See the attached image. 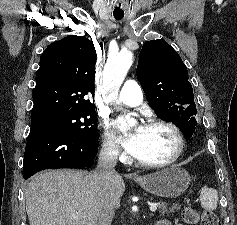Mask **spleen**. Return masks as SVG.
Here are the masks:
<instances>
[{"label":"spleen","mask_w":237,"mask_h":225,"mask_svg":"<svg viewBox=\"0 0 237 225\" xmlns=\"http://www.w3.org/2000/svg\"><path fill=\"white\" fill-rule=\"evenodd\" d=\"M218 193L215 189L204 186L200 192V203L205 210H215L217 208Z\"/></svg>","instance_id":"obj_1"}]
</instances>
